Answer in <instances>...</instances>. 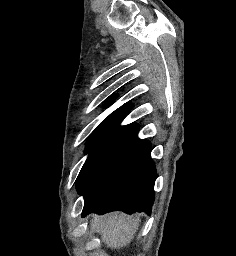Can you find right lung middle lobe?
<instances>
[{"instance_id": "dd1d6c3e", "label": "right lung middle lobe", "mask_w": 236, "mask_h": 256, "mask_svg": "<svg viewBox=\"0 0 236 256\" xmlns=\"http://www.w3.org/2000/svg\"><path fill=\"white\" fill-rule=\"evenodd\" d=\"M121 121L107 118L91 134L86 150L89 156L77 179L80 194L111 161L139 140V126L136 123L120 126Z\"/></svg>"}]
</instances>
